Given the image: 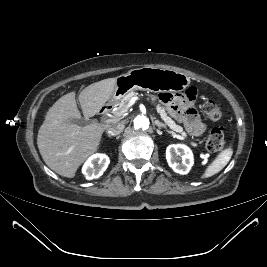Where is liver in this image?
<instances>
[{
	"instance_id": "obj_1",
	"label": "liver",
	"mask_w": 267,
	"mask_h": 267,
	"mask_svg": "<svg viewBox=\"0 0 267 267\" xmlns=\"http://www.w3.org/2000/svg\"><path fill=\"white\" fill-rule=\"evenodd\" d=\"M116 78H108L85 87L79 94L84 117L96 115L111 98ZM75 92L58 99L41 125L37 145L46 165L57 174L73 178L79 166L96 152L108 124L92 123L81 127L70 119H80Z\"/></svg>"
}]
</instances>
